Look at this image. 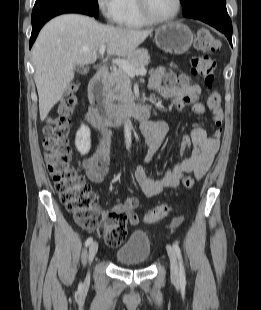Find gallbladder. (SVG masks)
<instances>
[{
	"label": "gallbladder",
	"mask_w": 261,
	"mask_h": 310,
	"mask_svg": "<svg viewBox=\"0 0 261 310\" xmlns=\"http://www.w3.org/2000/svg\"><path fill=\"white\" fill-rule=\"evenodd\" d=\"M84 67L82 66H77V71L80 72V73H84Z\"/></svg>",
	"instance_id": "bac80fb5"
}]
</instances>
